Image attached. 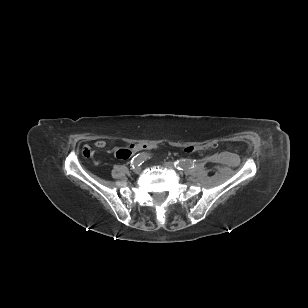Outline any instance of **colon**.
Masks as SVG:
<instances>
[{"mask_svg": "<svg viewBox=\"0 0 308 308\" xmlns=\"http://www.w3.org/2000/svg\"><path fill=\"white\" fill-rule=\"evenodd\" d=\"M218 146L216 142H210L202 146H189L185 148L186 153H195L200 151H206L214 149ZM151 145L150 144H129L125 148H121L116 152V156L120 159H127L129 156H131L133 151H139V152H145L150 151ZM83 155L87 158L92 156V150L89 147H84L83 149Z\"/></svg>", "mask_w": 308, "mask_h": 308, "instance_id": "obj_1", "label": "colon"}]
</instances>
